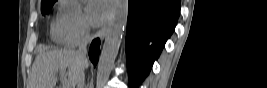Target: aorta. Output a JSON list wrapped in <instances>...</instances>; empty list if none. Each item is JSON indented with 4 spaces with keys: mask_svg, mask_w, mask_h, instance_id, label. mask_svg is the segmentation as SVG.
<instances>
[{
    "mask_svg": "<svg viewBox=\"0 0 267 88\" xmlns=\"http://www.w3.org/2000/svg\"><path fill=\"white\" fill-rule=\"evenodd\" d=\"M113 12L114 15L109 24L103 49L99 57L96 88H104L109 79L127 23L128 0H117Z\"/></svg>",
    "mask_w": 267,
    "mask_h": 88,
    "instance_id": "1",
    "label": "aorta"
}]
</instances>
